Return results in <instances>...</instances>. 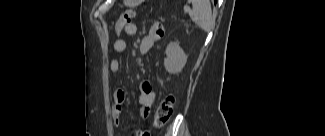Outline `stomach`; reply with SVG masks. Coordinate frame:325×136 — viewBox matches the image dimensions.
Listing matches in <instances>:
<instances>
[{
  "mask_svg": "<svg viewBox=\"0 0 325 136\" xmlns=\"http://www.w3.org/2000/svg\"><path fill=\"white\" fill-rule=\"evenodd\" d=\"M124 2L126 5L133 6V5H137L141 1L140 0H124Z\"/></svg>",
  "mask_w": 325,
  "mask_h": 136,
  "instance_id": "0dacf381",
  "label": "stomach"
}]
</instances>
